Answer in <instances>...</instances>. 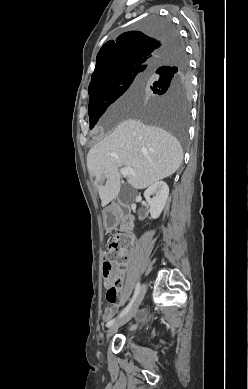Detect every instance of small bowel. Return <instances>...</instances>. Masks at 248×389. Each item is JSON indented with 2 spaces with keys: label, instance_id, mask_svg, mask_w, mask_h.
<instances>
[{
  "label": "small bowel",
  "instance_id": "c3829d8e",
  "mask_svg": "<svg viewBox=\"0 0 248 389\" xmlns=\"http://www.w3.org/2000/svg\"><path fill=\"white\" fill-rule=\"evenodd\" d=\"M117 308H118V306L116 303H114V304L110 303V305L107 306L105 311H104V314H103L104 320L107 321V320L111 319L114 316V314L116 313Z\"/></svg>",
  "mask_w": 248,
  "mask_h": 389
}]
</instances>
